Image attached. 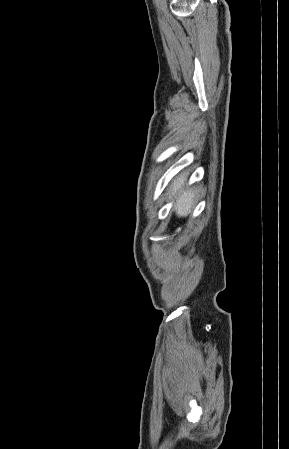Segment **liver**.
<instances>
[{"label":"liver","instance_id":"obj_1","mask_svg":"<svg viewBox=\"0 0 289 449\" xmlns=\"http://www.w3.org/2000/svg\"><path fill=\"white\" fill-rule=\"evenodd\" d=\"M187 176V173H182L180 176H178L173 181L171 190L169 192V199L179 194L173 207L178 217L189 215L194 206V197L196 190L190 188L186 191L181 192V189L187 180Z\"/></svg>","mask_w":289,"mask_h":449}]
</instances>
